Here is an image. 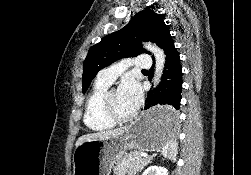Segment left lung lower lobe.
I'll use <instances>...</instances> for the list:
<instances>
[{"label": "left lung lower lobe", "mask_w": 251, "mask_h": 175, "mask_svg": "<svg viewBox=\"0 0 251 175\" xmlns=\"http://www.w3.org/2000/svg\"><path fill=\"white\" fill-rule=\"evenodd\" d=\"M161 48L165 51L166 62L159 86L150 92L147 97L145 110H148L144 122L150 126H167L179 120L181 91H182V66L179 53L174 41L168 32L163 38ZM154 60V57H153ZM154 66L149 79L152 77Z\"/></svg>", "instance_id": "obj_1"}]
</instances>
